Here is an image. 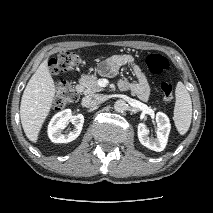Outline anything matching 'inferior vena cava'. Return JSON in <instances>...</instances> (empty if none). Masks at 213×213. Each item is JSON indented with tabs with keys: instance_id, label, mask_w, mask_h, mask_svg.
Instances as JSON below:
<instances>
[{
	"instance_id": "obj_1",
	"label": "inferior vena cava",
	"mask_w": 213,
	"mask_h": 213,
	"mask_svg": "<svg viewBox=\"0 0 213 213\" xmlns=\"http://www.w3.org/2000/svg\"><path fill=\"white\" fill-rule=\"evenodd\" d=\"M106 100V96L103 94H94V95H87L82 99V105L84 107L90 108L97 106Z\"/></svg>"
}]
</instances>
